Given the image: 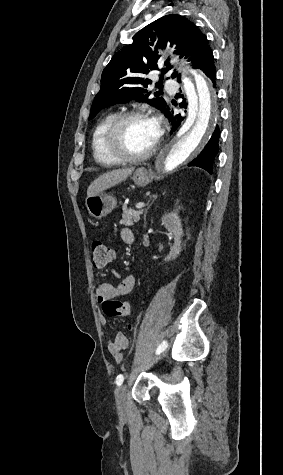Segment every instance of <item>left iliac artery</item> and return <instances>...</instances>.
I'll list each match as a JSON object with an SVG mask.
<instances>
[{
    "label": "left iliac artery",
    "mask_w": 283,
    "mask_h": 475,
    "mask_svg": "<svg viewBox=\"0 0 283 475\" xmlns=\"http://www.w3.org/2000/svg\"><path fill=\"white\" fill-rule=\"evenodd\" d=\"M167 345H168L167 342L163 341L157 348L156 354H160L161 352H163L167 348ZM123 381H124L123 375L122 374L118 375L116 378V384L120 386L123 383Z\"/></svg>",
    "instance_id": "obj_1"
}]
</instances>
